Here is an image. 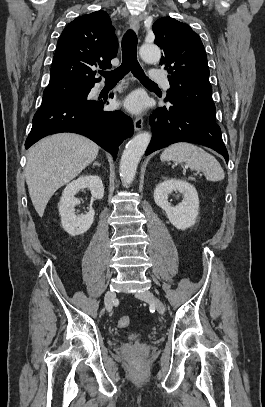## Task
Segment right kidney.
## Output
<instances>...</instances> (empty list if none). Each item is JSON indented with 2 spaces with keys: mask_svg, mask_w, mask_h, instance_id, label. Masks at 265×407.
I'll return each mask as SVG.
<instances>
[{
  "mask_svg": "<svg viewBox=\"0 0 265 407\" xmlns=\"http://www.w3.org/2000/svg\"><path fill=\"white\" fill-rule=\"evenodd\" d=\"M85 188L90 189L92 196L96 199H102L104 196L101 178L96 175H86L79 177L66 186L58 205L62 227L71 236L84 234L93 224L95 211L92 206L88 208V212L84 215H76L75 212V206L80 203L75 195Z\"/></svg>",
  "mask_w": 265,
  "mask_h": 407,
  "instance_id": "obj_1",
  "label": "right kidney"
}]
</instances>
